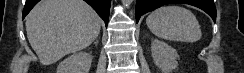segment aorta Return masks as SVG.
Here are the masks:
<instances>
[{"instance_id": "1", "label": "aorta", "mask_w": 244, "mask_h": 73, "mask_svg": "<svg viewBox=\"0 0 244 73\" xmlns=\"http://www.w3.org/2000/svg\"><path fill=\"white\" fill-rule=\"evenodd\" d=\"M133 0H122V4L124 7L129 8L132 4Z\"/></svg>"}]
</instances>
